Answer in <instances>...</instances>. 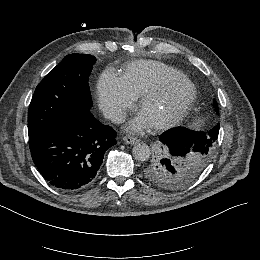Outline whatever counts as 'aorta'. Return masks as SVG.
<instances>
[{"mask_svg": "<svg viewBox=\"0 0 260 260\" xmlns=\"http://www.w3.org/2000/svg\"><path fill=\"white\" fill-rule=\"evenodd\" d=\"M133 156L138 161H146L151 155L150 148L145 143H138L132 149Z\"/></svg>", "mask_w": 260, "mask_h": 260, "instance_id": "762f6f07", "label": "aorta"}]
</instances>
